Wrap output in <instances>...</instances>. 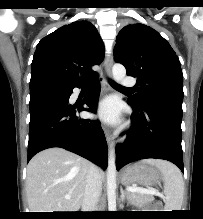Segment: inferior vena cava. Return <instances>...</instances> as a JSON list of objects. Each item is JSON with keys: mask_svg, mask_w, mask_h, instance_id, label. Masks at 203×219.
Returning <instances> with one entry per match:
<instances>
[{"mask_svg": "<svg viewBox=\"0 0 203 219\" xmlns=\"http://www.w3.org/2000/svg\"><path fill=\"white\" fill-rule=\"evenodd\" d=\"M102 191L98 168L91 164L86 176L85 192L82 200V211H95Z\"/></svg>", "mask_w": 203, "mask_h": 219, "instance_id": "obj_1", "label": "inferior vena cava"}]
</instances>
